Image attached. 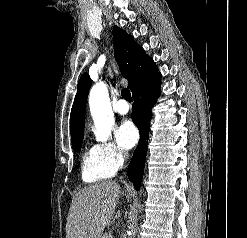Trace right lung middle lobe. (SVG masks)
I'll return each instance as SVG.
<instances>
[{
  "label": "right lung middle lobe",
  "mask_w": 247,
  "mask_h": 238,
  "mask_svg": "<svg viewBox=\"0 0 247 238\" xmlns=\"http://www.w3.org/2000/svg\"><path fill=\"white\" fill-rule=\"evenodd\" d=\"M82 141H83V139H81V140H79V141H77V142H75V143H72V145H73V150H74L75 152H79V151L81 150Z\"/></svg>",
  "instance_id": "dd1d6c3e"
}]
</instances>
